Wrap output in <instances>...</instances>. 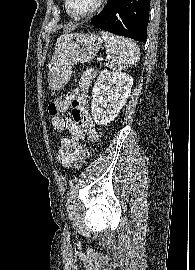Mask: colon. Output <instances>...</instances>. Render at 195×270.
Wrapping results in <instances>:
<instances>
[{"instance_id": "1", "label": "colon", "mask_w": 195, "mask_h": 270, "mask_svg": "<svg viewBox=\"0 0 195 270\" xmlns=\"http://www.w3.org/2000/svg\"><path fill=\"white\" fill-rule=\"evenodd\" d=\"M70 101H71V94H67L63 97L57 98L56 100L50 103L48 107L49 113L52 116L58 115L59 113L63 112L68 108ZM87 156H88L87 150L82 149L77 160L78 169L85 163Z\"/></svg>"}]
</instances>
